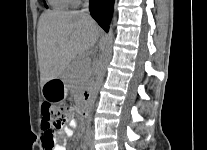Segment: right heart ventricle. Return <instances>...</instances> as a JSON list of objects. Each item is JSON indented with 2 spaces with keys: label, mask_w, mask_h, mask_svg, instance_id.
Instances as JSON below:
<instances>
[{
  "label": "right heart ventricle",
  "mask_w": 207,
  "mask_h": 150,
  "mask_svg": "<svg viewBox=\"0 0 207 150\" xmlns=\"http://www.w3.org/2000/svg\"><path fill=\"white\" fill-rule=\"evenodd\" d=\"M50 5L58 10L67 9L77 4L78 0H48Z\"/></svg>",
  "instance_id": "obj_1"
}]
</instances>
